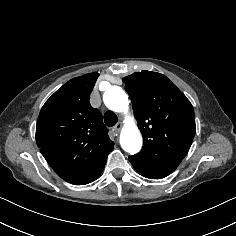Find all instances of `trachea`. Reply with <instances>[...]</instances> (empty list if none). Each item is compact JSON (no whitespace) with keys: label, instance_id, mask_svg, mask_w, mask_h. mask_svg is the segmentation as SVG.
<instances>
[{"label":"trachea","instance_id":"3493384b","mask_svg":"<svg viewBox=\"0 0 236 236\" xmlns=\"http://www.w3.org/2000/svg\"><path fill=\"white\" fill-rule=\"evenodd\" d=\"M117 121H118V117L112 111H107L104 114V122L107 126L112 127L117 123Z\"/></svg>","mask_w":236,"mask_h":236}]
</instances>
